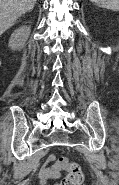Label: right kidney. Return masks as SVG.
<instances>
[{"instance_id": "right-kidney-1", "label": "right kidney", "mask_w": 119, "mask_h": 185, "mask_svg": "<svg viewBox=\"0 0 119 185\" xmlns=\"http://www.w3.org/2000/svg\"><path fill=\"white\" fill-rule=\"evenodd\" d=\"M30 32H31L30 26H22V27L16 29L12 33V35L9 39L8 46L12 50L21 49L25 45V42L27 41V39L30 35Z\"/></svg>"}]
</instances>
